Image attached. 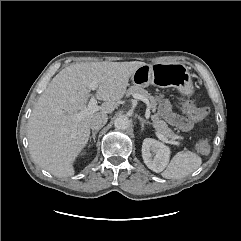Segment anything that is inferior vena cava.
<instances>
[{
    "label": "inferior vena cava",
    "instance_id": "obj_1",
    "mask_svg": "<svg viewBox=\"0 0 241 241\" xmlns=\"http://www.w3.org/2000/svg\"><path fill=\"white\" fill-rule=\"evenodd\" d=\"M108 120V116L107 114H100L95 116L91 122H90V128L94 131V130H99L101 129Z\"/></svg>",
    "mask_w": 241,
    "mask_h": 241
}]
</instances>
